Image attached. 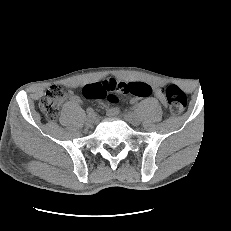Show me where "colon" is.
<instances>
[{"label": "colon", "instance_id": "1", "mask_svg": "<svg viewBox=\"0 0 231 231\" xmlns=\"http://www.w3.org/2000/svg\"><path fill=\"white\" fill-rule=\"evenodd\" d=\"M151 93V87L143 82H118L115 80H105L86 85L83 94L88 99L107 98L112 102L117 101V94H131L140 98ZM164 99L170 112L174 115L182 113L186 107V96L177 86L166 85L164 87ZM67 95V89L59 84H54L48 88L40 100V110L46 119L55 120L59 114L60 105Z\"/></svg>", "mask_w": 231, "mask_h": 231}]
</instances>
